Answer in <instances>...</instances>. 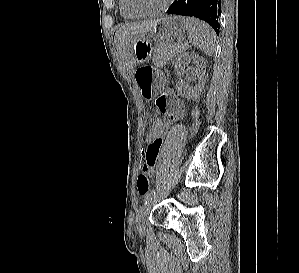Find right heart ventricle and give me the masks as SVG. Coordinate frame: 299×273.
<instances>
[{
  "label": "right heart ventricle",
  "instance_id": "right-heart-ventricle-1",
  "mask_svg": "<svg viewBox=\"0 0 299 273\" xmlns=\"http://www.w3.org/2000/svg\"><path fill=\"white\" fill-rule=\"evenodd\" d=\"M119 10H120V14L121 16L124 18V19H127V20H133V19H136L137 17L131 15L130 13H128L124 6H123V1L122 0H119Z\"/></svg>",
  "mask_w": 299,
  "mask_h": 273
}]
</instances>
